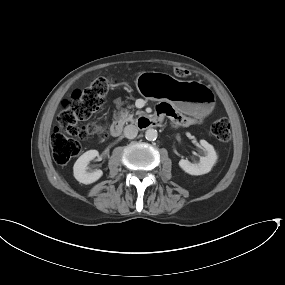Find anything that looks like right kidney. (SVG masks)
Returning <instances> with one entry per match:
<instances>
[{"label":"right kidney","instance_id":"ca27d5eb","mask_svg":"<svg viewBox=\"0 0 285 285\" xmlns=\"http://www.w3.org/2000/svg\"><path fill=\"white\" fill-rule=\"evenodd\" d=\"M97 156H99L97 150H89L77 159L73 166L74 177L77 181L83 184H91L103 175L101 170H96L94 172L87 171L89 162Z\"/></svg>","mask_w":285,"mask_h":285}]
</instances>
